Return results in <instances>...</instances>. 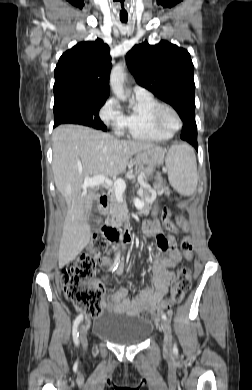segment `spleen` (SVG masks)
<instances>
[{
	"label": "spleen",
	"mask_w": 252,
	"mask_h": 390,
	"mask_svg": "<svg viewBox=\"0 0 252 390\" xmlns=\"http://www.w3.org/2000/svg\"><path fill=\"white\" fill-rule=\"evenodd\" d=\"M165 164L171 186L181 195H192L198 182L194 151L187 145L172 146L167 153Z\"/></svg>",
	"instance_id": "3e777b00"
}]
</instances>
